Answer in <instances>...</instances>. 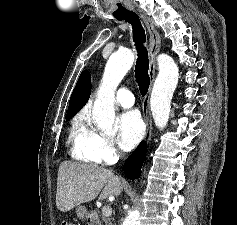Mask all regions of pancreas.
<instances>
[{"label": "pancreas", "instance_id": "1", "mask_svg": "<svg viewBox=\"0 0 237 225\" xmlns=\"http://www.w3.org/2000/svg\"><path fill=\"white\" fill-rule=\"evenodd\" d=\"M102 221L105 223V225H113L112 220L106 216H102Z\"/></svg>", "mask_w": 237, "mask_h": 225}]
</instances>
